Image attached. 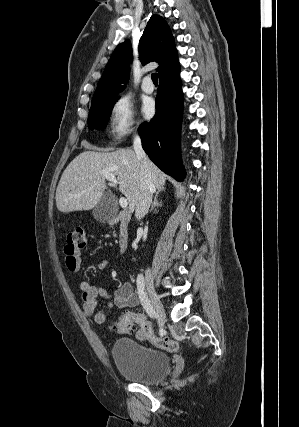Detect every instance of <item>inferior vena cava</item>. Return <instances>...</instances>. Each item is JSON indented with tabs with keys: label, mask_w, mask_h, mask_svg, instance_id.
Returning <instances> with one entry per match:
<instances>
[{
	"label": "inferior vena cava",
	"mask_w": 299,
	"mask_h": 427,
	"mask_svg": "<svg viewBox=\"0 0 299 427\" xmlns=\"http://www.w3.org/2000/svg\"><path fill=\"white\" fill-rule=\"evenodd\" d=\"M133 148L140 162L141 188L135 208V217L137 218V220H140L149 211L155 187L151 179L149 160L142 148L141 139L137 134L135 135L133 140Z\"/></svg>",
	"instance_id": "obj_1"
}]
</instances>
